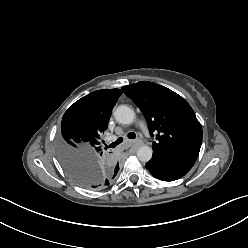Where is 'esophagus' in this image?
<instances>
[{
	"label": "esophagus",
	"mask_w": 248,
	"mask_h": 248,
	"mask_svg": "<svg viewBox=\"0 0 248 248\" xmlns=\"http://www.w3.org/2000/svg\"><path fill=\"white\" fill-rule=\"evenodd\" d=\"M140 145H141L140 140H135V141H132V143H131V146L133 149H137Z\"/></svg>",
	"instance_id": "34e87169"
}]
</instances>
